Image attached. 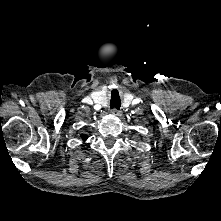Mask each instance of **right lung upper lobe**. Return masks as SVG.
Listing matches in <instances>:
<instances>
[{
    "label": "right lung upper lobe",
    "mask_w": 221,
    "mask_h": 221,
    "mask_svg": "<svg viewBox=\"0 0 221 221\" xmlns=\"http://www.w3.org/2000/svg\"><path fill=\"white\" fill-rule=\"evenodd\" d=\"M82 139H83V140H86V139H87V136H86V135H82Z\"/></svg>",
    "instance_id": "right-lung-upper-lobe-1"
}]
</instances>
